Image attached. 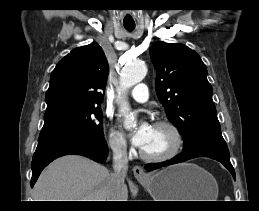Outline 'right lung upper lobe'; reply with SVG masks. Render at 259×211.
<instances>
[{
	"label": "right lung upper lobe",
	"instance_id": "cb5924a9",
	"mask_svg": "<svg viewBox=\"0 0 259 211\" xmlns=\"http://www.w3.org/2000/svg\"><path fill=\"white\" fill-rule=\"evenodd\" d=\"M108 71L107 59L97 43L73 49L51 74L44 123L99 105Z\"/></svg>",
	"mask_w": 259,
	"mask_h": 211
}]
</instances>
